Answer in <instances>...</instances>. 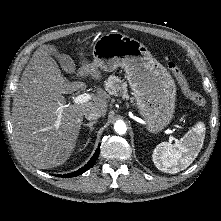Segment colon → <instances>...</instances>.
Returning <instances> with one entry per match:
<instances>
[{"label": "colon", "mask_w": 221, "mask_h": 221, "mask_svg": "<svg viewBox=\"0 0 221 221\" xmlns=\"http://www.w3.org/2000/svg\"><path fill=\"white\" fill-rule=\"evenodd\" d=\"M165 59L167 61V65H168L169 70L171 71V73L175 77L176 81L180 85L184 94L191 101H193L197 106L204 109L206 107V99L204 98V96L201 95L200 93L192 90L187 79L185 78V76L183 75L181 69L179 68V66L177 64H175L173 61H171L169 59V57H165Z\"/></svg>", "instance_id": "1"}]
</instances>
